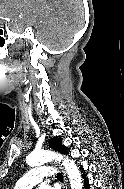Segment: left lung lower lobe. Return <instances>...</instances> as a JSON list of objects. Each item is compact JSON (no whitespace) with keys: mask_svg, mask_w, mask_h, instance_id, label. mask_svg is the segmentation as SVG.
I'll return each instance as SVG.
<instances>
[{"mask_svg":"<svg viewBox=\"0 0 124 189\" xmlns=\"http://www.w3.org/2000/svg\"><path fill=\"white\" fill-rule=\"evenodd\" d=\"M84 186H85V189H88L89 188V182H88V179L84 176Z\"/></svg>","mask_w":124,"mask_h":189,"instance_id":"0a47b994","label":"left lung lower lobe"}]
</instances>
